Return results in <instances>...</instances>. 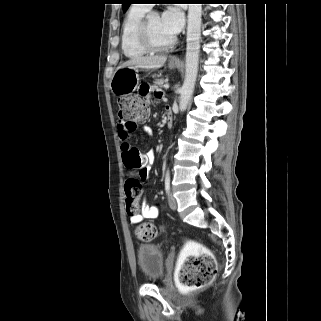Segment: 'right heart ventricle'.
Wrapping results in <instances>:
<instances>
[{"label": "right heart ventricle", "mask_w": 321, "mask_h": 321, "mask_svg": "<svg viewBox=\"0 0 321 321\" xmlns=\"http://www.w3.org/2000/svg\"><path fill=\"white\" fill-rule=\"evenodd\" d=\"M149 9L145 5H133L124 18L121 29V48L127 58H139L148 52L140 45L137 31L142 18Z\"/></svg>", "instance_id": "1"}]
</instances>
